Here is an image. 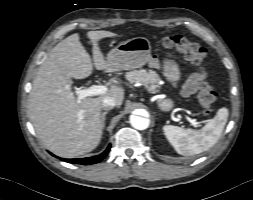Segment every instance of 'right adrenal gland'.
<instances>
[{"label":"right adrenal gland","instance_id":"2a0ac1e0","mask_svg":"<svg viewBox=\"0 0 253 200\" xmlns=\"http://www.w3.org/2000/svg\"><path fill=\"white\" fill-rule=\"evenodd\" d=\"M108 111H105L101 114V123H102V130H104L105 128V120H106V115H107Z\"/></svg>","mask_w":253,"mask_h":200}]
</instances>
